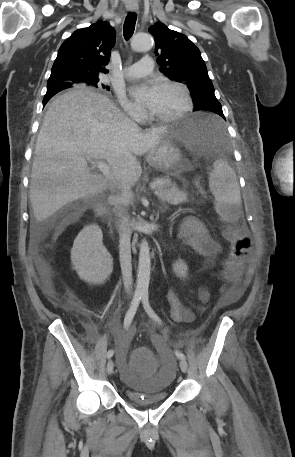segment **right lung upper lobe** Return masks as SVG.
Returning a JSON list of instances; mask_svg holds the SVG:
<instances>
[{"mask_svg": "<svg viewBox=\"0 0 295 457\" xmlns=\"http://www.w3.org/2000/svg\"><path fill=\"white\" fill-rule=\"evenodd\" d=\"M115 38L113 27L102 20L76 30L59 48L47 86L87 84L89 79L108 73L105 66Z\"/></svg>", "mask_w": 295, "mask_h": 457, "instance_id": "right-lung-upper-lobe-1", "label": "right lung upper lobe"}]
</instances>
